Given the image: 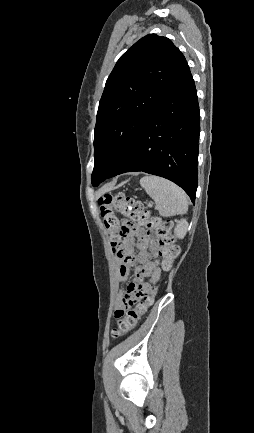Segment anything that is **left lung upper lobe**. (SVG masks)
<instances>
[{
    "label": "left lung upper lobe",
    "mask_w": 254,
    "mask_h": 433,
    "mask_svg": "<svg viewBox=\"0 0 254 433\" xmlns=\"http://www.w3.org/2000/svg\"><path fill=\"white\" fill-rule=\"evenodd\" d=\"M185 57L166 37L149 34L117 61L99 102L94 136L93 186L110 178L176 78ZM117 154V159L107 158Z\"/></svg>",
    "instance_id": "5c2ea615"
}]
</instances>
